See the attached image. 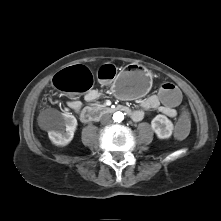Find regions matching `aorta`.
Masks as SVG:
<instances>
[{"mask_svg":"<svg viewBox=\"0 0 221 221\" xmlns=\"http://www.w3.org/2000/svg\"><path fill=\"white\" fill-rule=\"evenodd\" d=\"M113 120L118 123L122 122L124 120V114L120 111L115 112L113 114Z\"/></svg>","mask_w":221,"mask_h":221,"instance_id":"762f6f07","label":"aorta"}]
</instances>
